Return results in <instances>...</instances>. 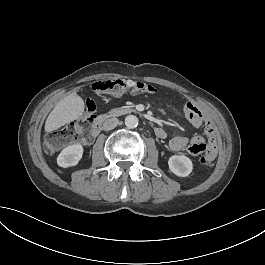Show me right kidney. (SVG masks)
<instances>
[{"label": "right kidney", "instance_id": "obj_1", "mask_svg": "<svg viewBox=\"0 0 265 265\" xmlns=\"http://www.w3.org/2000/svg\"><path fill=\"white\" fill-rule=\"evenodd\" d=\"M83 155V147L80 144L70 145L64 148L57 157V164L67 168L78 164Z\"/></svg>", "mask_w": 265, "mask_h": 265}]
</instances>
